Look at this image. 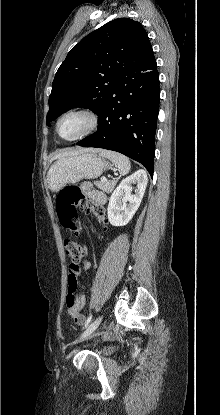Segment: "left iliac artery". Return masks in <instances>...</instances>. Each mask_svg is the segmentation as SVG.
Returning a JSON list of instances; mask_svg holds the SVG:
<instances>
[{
    "mask_svg": "<svg viewBox=\"0 0 220 415\" xmlns=\"http://www.w3.org/2000/svg\"><path fill=\"white\" fill-rule=\"evenodd\" d=\"M101 319H102V317H100L99 322L101 321ZM91 320H92V314H90L89 317L87 318L86 323H85V327H87L89 325Z\"/></svg>",
    "mask_w": 220,
    "mask_h": 415,
    "instance_id": "1",
    "label": "left iliac artery"
}]
</instances>
